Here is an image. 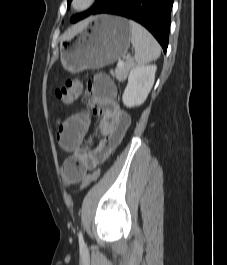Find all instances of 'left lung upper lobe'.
Segmentation results:
<instances>
[{
    "label": "left lung upper lobe",
    "mask_w": 227,
    "mask_h": 265,
    "mask_svg": "<svg viewBox=\"0 0 227 265\" xmlns=\"http://www.w3.org/2000/svg\"><path fill=\"white\" fill-rule=\"evenodd\" d=\"M71 1H72V0H68V4H70ZM106 1H107V0H97V1L95 2V4L93 5L92 8H90L87 12H84V13L78 14V15H76V16H73V17L71 18V21H72L73 23H75V22H77L78 20H80V19H82V18H84V17H86V16L92 14L97 8H99V7H100L103 3H105Z\"/></svg>",
    "instance_id": "left-lung-upper-lobe-1"
}]
</instances>
